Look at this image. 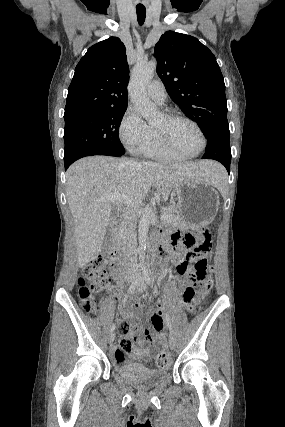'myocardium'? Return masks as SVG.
<instances>
[{
    "instance_id": "1",
    "label": "myocardium",
    "mask_w": 285,
    "mask_h": 427,
    "mask_svg": "<svg viewBox=\"0 0 285 427\" xmlns=\"http://www.w3.org/2000/svg\"><path fill=\"white\" fill-rule=\"evenodd\" d=\"M162 115L168 121L182 120V121L190 123L191 125H193L196 128V130L199 133V136L201 138V147H200V149L197 152H195V153H186V152L180 150L172 142V140L170 139V137L168 136L167 133H165L164 131H162V130L156 128V127H154V129H155V131L157 133L158 139H159V141L162 143V145L164 147H166L170 151H172V152H174V153H176V154H178L180 156H183L185 158L196 157V156H198L205 149L206 143H207L206 136H205V134H204L201 126L195 120H193L192 118H190L188 116H185V115H182V114H179V113H175V112H164Z\"/></svg>"
}]
</instances>
